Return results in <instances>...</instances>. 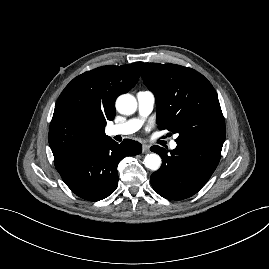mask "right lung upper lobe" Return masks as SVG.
<instances>
[{
  "instance_id": "right-lung-upper-lobe-1",
  "label": "right lung upper lobe",
  "mask_w": 269,
  "mask_h": 269,
  "mask_svg": "<svg viewBox=\"0 0 269 269\" xmlns=\"http://www.w3.org/2000/svg\"><path fill=\"white\" fill-rule=\"evenodd\" d=\"M143 62L103 66L74 78L60 94L49 128L54 159L68 155L105 135L107 120L115 116V100L139 79Z\"/></svg>"
}]
</instances>
